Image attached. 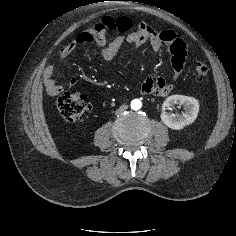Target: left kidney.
<instances>
[{"instance_id":"left-kidney-1","label":"left kidney","mask_w":236,"mask_h":236,"mask_svg":"<svg viewBox=\"0 0 236 236\" xmlns=\"http://www.w3.org/2000/svg\"><path fill=\"white\" fill-rule=\"evenodd\" d=\"M183 105L185 112L181 115L170 114L165 111L167 107ZM161 120L169 128L180 130L192 124L199 112V102L193 98L183 95H172L166 98L162 106Z\"/></svg>"}]
</instances>
